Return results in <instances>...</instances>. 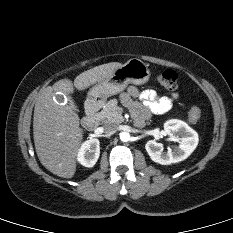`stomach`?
<instances>
[{"label":"stomach","instance_id":"stomach-1","mask_svg":"<svg viewBox=\"0 0 233 233\" xmlns=\"http://www.w3.org/2000/svg\"><path fill=\"white\" fill-rule=\"evenodd\" d=\"M150 78L148 65L142 60L132 58L114 70L112 75L98 82L88 92V99L105 100L122 92L128 84L142 85Z\"/></svg>","mask_w":233,"mask_h":233}]
</instances>
